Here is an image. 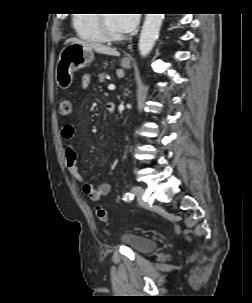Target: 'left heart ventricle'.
<instances>
[{
    "label": "left heart ventricle",
    "mask_w": 252,
    "mask_h": 303,
    "mask_svg": "<svg viewBox=\"0 0 252 303\" xmlns=\"http://www.w3.org/2000/svg\"><path fill=\"white\" fill-rule=\"evenodd\" d=\"M105 15H106V19H107L106 20L107 26L111 31H113L114 33H117V34L124 33L116 21V17L114 16L115 14H105Z\"/></svg>",
    "instance_id": "1"
}]
</instances>
